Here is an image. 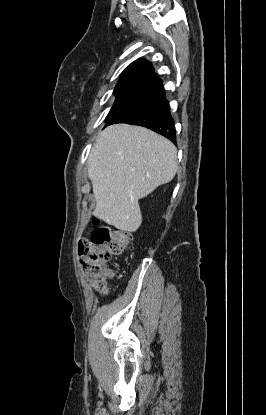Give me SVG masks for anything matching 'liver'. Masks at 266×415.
Masks as SVG:
<instances>
[{
	"mask_svg": "<svg viewBox=\"0 0 266 415\" xmlns=\"http://www.w3.org/2000/svg\"><path fill=\"white\" fill-rule=\"evenodd\" d=\"M177 150L155 132L127 124L107 127L88 158L96 207L93 215L115 228L135 232L142 223L138 200L170 182Z\"/></svg>",
	"mask_w": 266,
	"mask_h": 415,
	"instance_id": "obj_1",
	"label": "liver"
}]
</instances>
